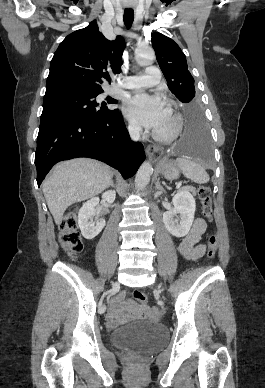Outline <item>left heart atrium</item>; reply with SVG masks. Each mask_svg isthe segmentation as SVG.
<instances>
[{"label":"left heart atrium","mask_w":265,"mask_h":388,"mask_svg":"<svg viewBox=\"0 0 265 388\" xmlns=\"http://www.w3.org/2000/svg\"><path fill=\"white\" fill-rule=\"evenodd\" d=\"M124 113L134 122L157 127L167 117L168 110L159 96L140 93L126 101Z\"/></svg>","instance_id":"39dd6f15"}]
</instances>
